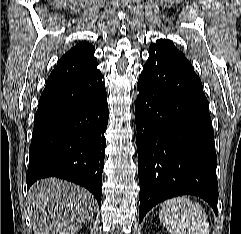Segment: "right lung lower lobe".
<instances>
[{"label": "right lung lower lobe", "instance_id": "right-lung-lower-lobe-1", "mask_svg": "<svg viewBox=\"0 0 241 234\" xmlns=\"http://www.w3.org/2000/svg\"><path fill=\"white\" fill-rule=\"evenodd\" d=\"M102 78L96 66L46 85L34 120L27 188L38 179L58 177L87 188L101 205L108 124Z\"/></svg>", "mask_w": 241, "mask_h": 234}]
</instances>
